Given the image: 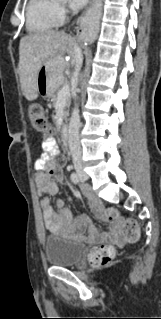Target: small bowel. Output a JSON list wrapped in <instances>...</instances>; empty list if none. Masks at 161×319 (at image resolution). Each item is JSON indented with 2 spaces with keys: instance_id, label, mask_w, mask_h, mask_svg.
I'll return each instance as SVG.
<instances>
[{
  "instance_id": "small-bowel-1",
  "label": "small bowel",
  "mask_w": 161,
  "mask_h": 319,
  "mask_svg": "<svg viewBox=\"0 0 161 319\" xmlns=\"http://www.w3.org/2000/svg\"><path fill=\"white\" fill-rule=\"evenodd\" d=\"M51 137L46 136L42 142L43 153L34 163L36 171L35 183L40 196L44 194L56 195L58 193V183L62 181L59 177L48 174V170L52 167V157L56 153V149L49 143ZM71 199V196L68 197ZM89 204L92 208H100L102 202L99 198L89 196ZM41 213L45 228L53 234H69L75 238H80L87 231V239L90 241L115 239L120 240V222L115 220L110 223L111 234L103 238H98L96 227L85 217L73 220L72 214L65 206L64 199L57 198L55 210L50 205L47 197H41L40 200ZM101 222H105L104 217L97 213Z\"/></svg>"
}]
</instances>
